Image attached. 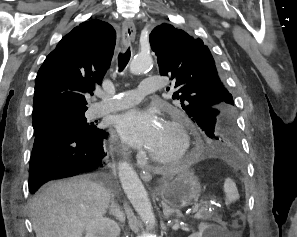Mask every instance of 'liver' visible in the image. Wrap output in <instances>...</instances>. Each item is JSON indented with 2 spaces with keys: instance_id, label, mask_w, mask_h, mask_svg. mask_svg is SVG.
Here are the masks:
<instances>
[{
  "instance_id": "liver-1",
  "label": "liver",
  "mask_w": 297,
  "mask_h": 237,
  "mask_svg": "<svg viewBox=\"0 0 297 237\" xmlns=\"http://www.w3.org/2000/svg\"><path fill=\"white\" fill-rule=\"evenodd\" d=\"M110 199V190L88 176L48 183L30 203L36 237H82L88 223L106 213Z\"/></svg>"
}]
</instances>
